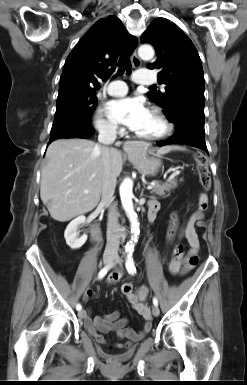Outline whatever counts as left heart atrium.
I'll return each mask as SVG.
<instances>
[{"instance_id": "obj_1", "label": "left heart atrium", "mask_w": 247, "mask_h": 385, "mask_svg": "<svg viewBox=\"0 0 247 385\" xmlns=\"http://www.w3.org/2000/svg\"><path fill=\"white\" fill-rule=\"evenodd\" d=\"M149 113L144 102L136 97H124L108 104L109 117L133 131H137L143 126Z\"/></svg>"}]
</instances>
